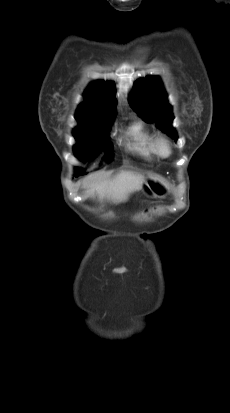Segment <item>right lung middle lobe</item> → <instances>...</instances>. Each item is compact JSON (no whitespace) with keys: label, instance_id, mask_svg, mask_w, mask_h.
Returning <instances> with one entry per match:
<instances>
[{"label":"right lung middle lobe","instance_id":"right-lung-middle-lobe-1","mask_svg":"<svg viewBox=\"0 0 230 413\" xmlns=\"http://www.w3.org/2000/svg\"><path fill=\"white\" fill-rule=\"evenodd\" d=\"M112 121H103L83 128H75L73 135L77 140L74 146L76 157L82 161L95 157L103 148H107V158L112 159V150L109 144L108 131ZM75 176L85 174L81 168H76Z\"/></svg>","mask_w":230,"mask_h":413}]
</instances>
